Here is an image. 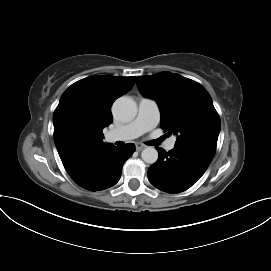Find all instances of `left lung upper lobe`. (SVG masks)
I'll list each match as a JSON object with an SVG mask.
<instances>
[{
    "label": "left lung upper lobe",
    "instance_id": "obj_1",
    "mask_svg": "<svg viewBox=\"0 0 271 271\" xmlns=\"http://www.w3.org/2000/svg\"><path fill=\"white\" fill-rule=\"evenodd\" d=\"M136 82L144 97L158 103L161 128L178 135L175 144L215 152L220 118L201 84L171 72L140 76Z\"/></svg>",
    "mask_w": 271,
    "mask_h": 271
}]
</instances>
